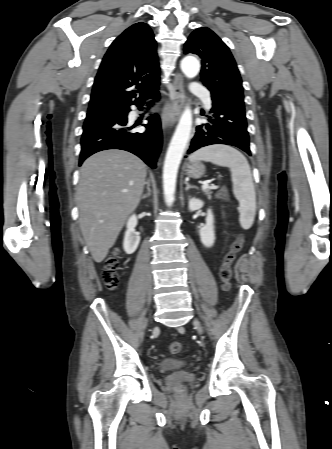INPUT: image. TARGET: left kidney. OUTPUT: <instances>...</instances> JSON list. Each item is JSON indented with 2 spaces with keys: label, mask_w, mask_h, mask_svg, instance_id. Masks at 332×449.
Segmentation results:
<instances>
[{
  "label": "left kidney",
  "mask_w": 332,
  "mask_h": 449,
  "mask_svg": "<svg viewBox=\"0 0 332 449\" xmlns=\"http://www.w3.org/2000/svg\"><path fill=\"white\" fill-rule=\"evenodd\" d=\"M203 207V202L196 198H191L189 200V210L196 211ZM200 240L202 244L209 248L212 247L215 241V231H214V216L209 209L206 214V224L199 231Z\"/></svg>",
  "instance_id": "1"
}]
</instances>
